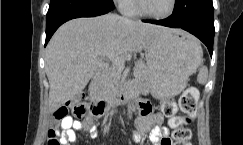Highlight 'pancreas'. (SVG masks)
I'll return each instance as SVG.
<instances>
[{
    "label": "pancreas",
    "instance_id": "cf45deb5",
    "mask_svg": "<svg viewBox=\"0 0 243 145\" xmlns=\"http://www.w3.org/2000/svg\"><path fill=\"white\" fill-rule=\"evenodd\" d=\"M122 71L123 70L115 64H112L109 67L105 68L97 80L96 90L102 93H109L110 91L115 89L120 82ZM134 71L135 76L140 82L145 83L147 81L148 70L142 63H138Z\"/></svg>",
    "mask_w": 243,
    "mask_h": 145
}]
</instances>
